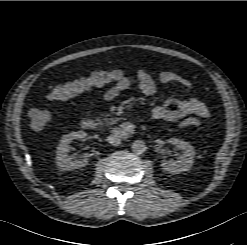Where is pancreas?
Returning <instances> with one entry per match:
<instances>
[{
	"label": "pancreas",
	"mask_w": 247,
	"mask_h": 245,
	"mask_svg": "<svg viewBox=\"0 0 247 245\" xmlns=\"http://www.w3.org/2000/svg\"><path fill=\"white\" fill-rule=\"evenodd\" d=\"M96 121L100 125H110L116 122L115 119L110 118V115H102L101 117H97Z\"/></svg>",
	"instance_id": "1"
}]
</instances>
